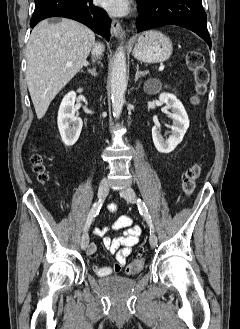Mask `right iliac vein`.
Segmentation results:
<instances>
[{
	"mask_svg": "<svg viewBox=\"0 0 240 329\" xmlns=\"http://www.w3.org/2000/svg\"><path fill=\"white\" fill-rule=\"evenodd\" d=\"M109 192V182L104 179L101 181L100 185H99V189H98V197L99 198H104L108 195ZM89 244V235L87 232H85L82 237H81V241H80V246L82 250H85L87 248Z\"/></svg>",
	"mask_w": 240,
	"mask_h": 329,
	"instance_id": "63e3f726",
	"label": "right iliac vein"
}]
</instances>
